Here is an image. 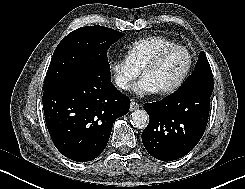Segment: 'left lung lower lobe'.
Here are the masks:
<instances>
[{"label": "left lung lower lobe", "mask_w": 245, "mask_h": 189, "mask_svg": "<svg viewBox=\"0 0 245 189\" xmlns=\"http://www.w3.org/2000/svg\"><path fill=\"white\" fill-rule=\"evenodd\" d=\"M212 91L188 87L165 99L146 103L150 121L142 133L145 149L162 161L177 160L200 141L209 117Z\"/></svg>", "instance_id": "0a47b994"}]
</instances>
